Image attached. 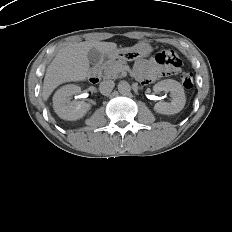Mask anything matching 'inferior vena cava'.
Returning <instances> with one entry per match:
<instances>
[{
    "instance_id": "obj_1",
    "label": "inferior vena cava",
    "mask_w": 232,
    "mask_h": 232,
    "mask_svg": "<svg viewBox=\"0 0 232 232\" xmlns=\"http://www.w3.org/2000/svg\"><path fill=\"white\" fill-rule=\"evenodd\" d=\"M115 86L114 81L112 80H104L99 85V90L103 95H108L111 93Z\"/></svg>"
}]
</instances>
